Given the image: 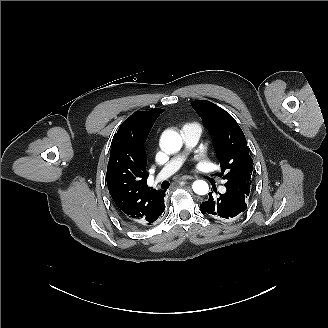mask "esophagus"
Segmentation results:
<instances>
[{
  "label": "esophagus",
  "mask_w": 328,
  "mask_h": 328,
  "mask_svg": "<svg viewBox=\"0 0 328 328\" xmlns=\"http://www.w3.org/2000/svg\"><path fill=\"white\" fill-rule=\"evenodd\" d=\"M194 179L192 176H188V175H184L180 177V180L184 181V180H192Z\"/></svg>",
  "instance_id": "34e87169"
}]
</instances>
